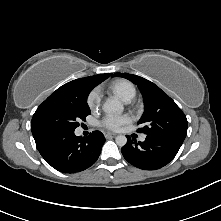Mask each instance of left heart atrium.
<instances>
[{
	"label": "left heart atrium",
	"mask_w": 221,
	"mask_h": 221,
	"mask_svg": "<svg viewBox=\"0 0 221 221\" xmlns=\"http://www.w3.org/2000/svg\"><path fill=\"white\" fill-rule=\"evenodd\" d=\"M129 117L126 115H107L102 120V125L110 130H118L124 124L129 122Z\"/></svg>",
	"instance_id": "1"
}]
</instances>
